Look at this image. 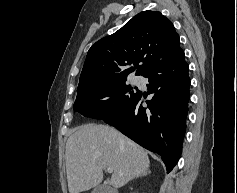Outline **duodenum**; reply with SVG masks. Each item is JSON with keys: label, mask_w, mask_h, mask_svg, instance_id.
<instances>
[{"label": "duodenum", "mask_w": 237, "mask_h": 193, "mask_svg": "<svg viewBox=\"0 0 237 193\" xmlns=\"http://www.w3.org/2000/svg\"><path fill=\"white\" fill-rule=\"evenodd\" d=\"M111 193H116V192H114V191H111Z\"/></svg>", "instance_id": "obj_1"}]
</instances>
